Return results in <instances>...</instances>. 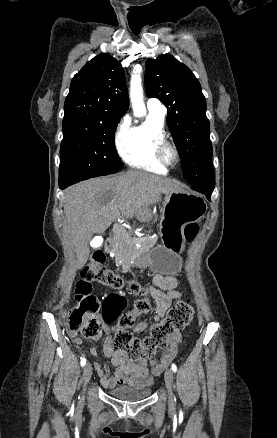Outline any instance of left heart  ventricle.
<instances>
[{
  "label": "left heart ventricle",
  "instance_id": "b2bd125f",
  "mask_svg": "<svg viewBox=\"0 0 277 438\" xmlns=\"http://www.w3.org/2000/svg\"><path fill=\"white\" fill-rule=\"evenodd\" d=\"M167 157H168V160L172 162V161L174 160V154H173V152H172V151H169Z\"/></svg>",
  "mask_w": 277,
  "mask_h": 438
}]
</instances>
